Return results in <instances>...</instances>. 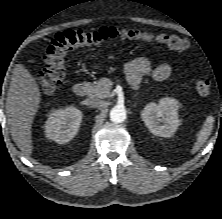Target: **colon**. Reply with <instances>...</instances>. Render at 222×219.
I'll return each instance as SVG.
<instances>
[{
    "mask_svg": "<svg viewBox=\"0 0 222 219\" xmlns=\"http://www.w3.org/2000/svg\"><path fill=\"white\" fill-rule=\"evenodd\" d=\"M114 40L156 41L175 51H184L189 47L187 39L177 35H155L138 29H118L103 27L97 30H68L57 34L50 42L44 55V69L39 73L37 82L44 92H52L60 87L67 76V55L78 47L99 45ZM200 95H207L211 82L199 79L195 83Z\"/></svg>",
    "mask_w": 222,
    "mask_h": 219,
    "instance_id": "colon-1",
    "label": "colon"
}]
</instances>
